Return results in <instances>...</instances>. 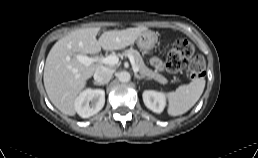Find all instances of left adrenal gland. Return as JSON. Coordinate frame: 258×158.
<instances>
[{
    "instance_id": "obj_1",
    "label": "left adrenal gland",
    "mask_w": 258,
    "mask_h": 158,
    "mask_svg": "<svg viewBox=\"0 0 258 158\" xmlns=\"http://www.w3.org/2000/svg\"><path fill=\"white\" fill-rule=\"evenodd\" d=\"M134 76L137 78V79H143L144 78V76H140V75H138L137 73H134ZM149 79V78H148Z\"/></svg>"
}]
</instances>
